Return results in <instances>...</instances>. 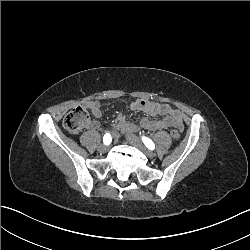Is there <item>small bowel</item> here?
I'll use <instances>...</instances> for the list:
<instances>
[{
  "label": "small bowel",
  "instance_id": "small-bowel-1",
  "mask_svg": "<svg viewBox=\"0 0 250 250\" xmlns=\"http://www.w3.org/2000/svg\"><path fill=\"white\" fill-rule=\"evenodd\" d=\"M86 109H89L91 113L99 117L102 113L101 106L96 101H88L84 104ZM133 111H143L152 116H161V119L149 120L143 118L140 120L141 127L149 131L165 130L170 129L173 125H178L183 130V121L181 113L174 109L168 104H162L155 101H144L136 100L132 106ZM99 122L97 120L90 121L87 124V128L95 130L99 127ZM122 129L124 132L133 134L138 131V126L128 122L124 115L118 114L115 123L111 128V132L117 135L118 130Z\"/></svg>",
  "mask_w": 250,
  "mask_h": 250
}]
</instances>
